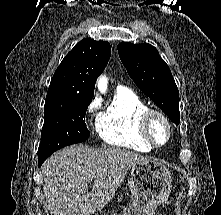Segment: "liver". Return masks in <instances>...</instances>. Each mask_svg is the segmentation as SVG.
<instances>
[{
    "instance_id": "6515ba94",
    "label": "liver",
    "mask_w": 221,
    "mask_h": 215,
    "mask_svg": "<svg viewBox=\"0 0 221 215\" xmlns=\"http://www.w3.org/2000/svg\"><path fill=\"white\" fill-rule=\"evenodd\" d=\"M120 148L74 145L59 150L43 164L44 196L51 215H87L113 199L133 165L148 161ZM92 183L88 192V183Z\"/></svg>"
}]
</instances>
